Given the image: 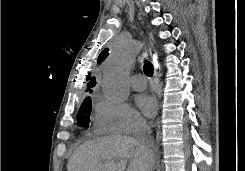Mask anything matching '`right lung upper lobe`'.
Instances as JSON below:
<instances>
[{
  "label": "right lung upper lobe",
  "mask_w": 245,
  "mask_h": 171,
  "mask_svg": "<svg viewBox=\"0 0 245 171\" xmlns=\"http://www.w3.org/2000/svg\"><path fill=\"white\" fill-rule=\"evenodd\" d=\"M87 80H90V81L88 82V84H87V86H88L87 89H88L90 92H92V90H91L90 88L93 87V86H95V84H96L95 77L90 78V74H88Z\"/></svg>",
  "instance_id": "cb5924a9"
}]
</instances>
